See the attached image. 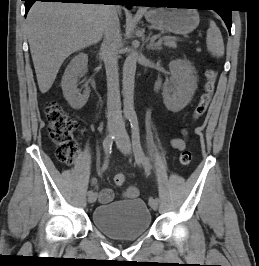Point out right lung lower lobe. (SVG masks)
<instances>
[{
	"label": "right lung lower lobe",
	"mask_w": 259,
	"mask_h": 266,
	"mask_svg": "<svg viewBox=\"0 0 259 266\" xmlns=\"http://www.w3.org/2000/svg\"><path fill=\"white\" fill-rule=\"evenodd\" d=\"M25 1V15H27L30 7L33 5L35 1L42 2H62V3H84V4H108V3H116L125 5L127 7H132V3L130 0H22Z\"/></svg>",
	"instance_id": "obj_1"
}]
</instances>
